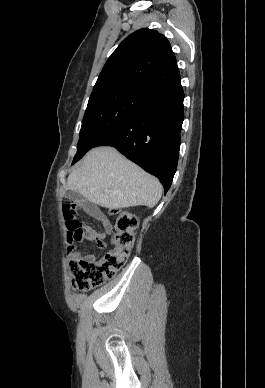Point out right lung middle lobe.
I'll return each instance as SVG.
<instances>
[{"instance_id": "obj_1", "label": "right lung middle lobe", "mask_w": 265, "mask_h": 388, "mask_svg": "<svg viewBox=\"0 0 265 388\" xmlns=\"http://www.w3.org/2000/svg\"><path fill=\"white\" fill-rule=\"evenodd\" d=\"M144 97L122 91L92 93L82 121L77 154L73 163L80 160L106 134L132 115Z\"/></svg>"}]
</instances>
